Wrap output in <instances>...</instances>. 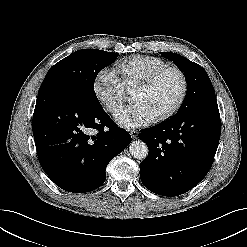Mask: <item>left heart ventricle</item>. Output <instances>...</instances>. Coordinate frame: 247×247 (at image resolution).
I'll return each instance as SVG.
<instances>
[{"label": "left heart ventricle", "instance_id": "obj_1", "mask_svg": "<svg viewBox=\"0 0 247 247\" xmlns=\"http://www.w3.org/2000/svg\"><path fill=\"white\" fill-rule=\"evenodd\" d=\"M181 88L182 81L179 74L175 71H167L149 88H135L132 100L136 103H144L157 117L176 102Z\"/></svg>", "mask_w": 247, "mask_h": 247}]
</instances>
